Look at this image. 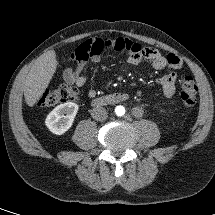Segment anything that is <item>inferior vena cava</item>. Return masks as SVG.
I'll list each match as a JSON object with an SVG mask.
<instances>
[{"label":"inferior vena cava","instance_id":"obj_1","mask_svg":"<svg viewBox=\"0 0 215 215\" xmlns=\"http://www.w3.org/2000/svg\"><path fill=\"white\" fill-rule=\"evenodd\" d=\"M107 115L106 109L101 106L94 107L91 111V116L96 121H104Z\"/></svg>","mask_w":215,"mask_h":215}]
</instances>
